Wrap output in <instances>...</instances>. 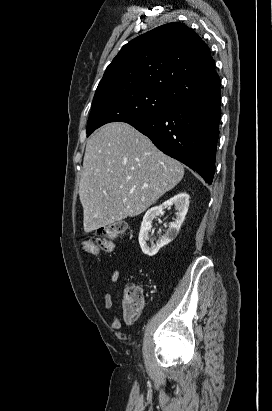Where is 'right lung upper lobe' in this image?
<instances>
[{
  "instance_id": "obj_1",
  "label": "right lung upper lobe",
  "mask_w": 272,
  "mask_h": 411,
  "mask_svg": "<svg viewBox=\"0 0 272 411\" xmlns=\"http://www.w3.org/2000/svg\"><path fill=\"white\" fill-rule=\"evenodd\" d=\"M219 85L207 44L185 24L173 22L124 45L108 65L95 94L151 88L170 92L181 101Z\"/></svg>"
}]
</instances>
